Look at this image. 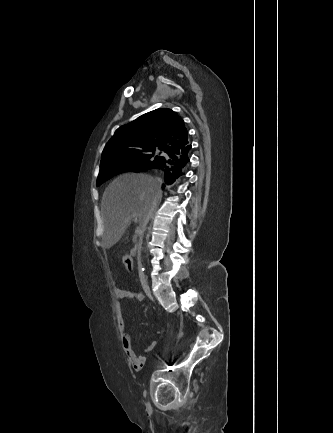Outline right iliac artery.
Wrapping results in <instances>:
<instances>
[{
  "mask_svg": "<svg viewBox=\"0 0 333 433\" xmlns=\"http://www.w3.org/2000/svg\"><path fill=\"white\" fill-rule=\"evenodd\" d=\"M146 406H147V408H150V404L149 403H147Z\"/></svg>",
  "mask_w": 333,
  "mask_h": 433,
  "instance_id": "82829eb1",
  "label": "right iliac artery"
}]
</instances>
